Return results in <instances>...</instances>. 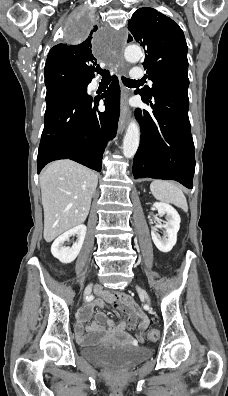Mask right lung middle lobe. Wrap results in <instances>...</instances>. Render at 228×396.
I'll use <instances>...</instances> for the list:
<instances>
[{
  "instance_id": "obj_1",
  "label": "right lung middle lobe",
  "mask_w": 228,
  "mask_h": 396,
  "mask_svg": "<svg viewBox=\"0 0 228 396\" xmlns=\"http://www.w3.org/2000/svg\"><path fill=\"white\" fill-rule=\"evenodd\" d=\"M90 22L91 18L86 14H80L73 19L72 26L78 32V38L88 33ZM45 84L47 88L46 103L47 106H50L57 98L68 92L86 89L88 80L70 72L51 73L45 75Z\"/></svg>"
}]
</instances>
